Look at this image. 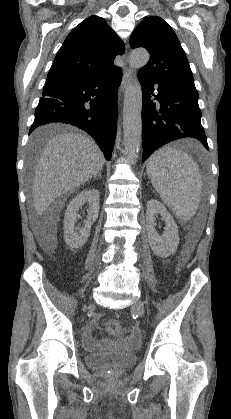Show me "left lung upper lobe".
Listing matches in <instances>:
<instances>
[{
  "instance_id": "5c2ea615",
  "label": "left lung upper lobe",
  "mask_w": 231,
  "mask_h": 419,
  "mask_svg": "<svg viewBox=\"0 0 231 419\" xmlns=\"http://www.w3.org/2000/svg\"><path fill=\"white\" fill-rule=\"evenodd\" d=\"M132 48L144 47L149 62L139 73L159 83L196 89L189 62L173 29L160 17L146 16L130 38Z\"/></svg>"
}]
</instances>
